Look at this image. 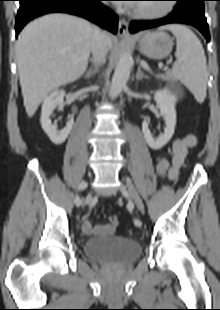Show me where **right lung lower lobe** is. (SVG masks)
I'll list each match as a JSON object with an SVG mask.
<instances>
[{"mask_svg": "<svg viewBox=\"0 0 220 310\" xmlns=\"http://www.w3.org/2000/svg\"><path fill=\"white\" fill-rule=\"evenodd\" d=\"M16 37L32 19L52 12H64L86 18L104 29L117 33L118 16L104 6L102 0H19Z\"/></svg>", "mask_w": 220, "mask_h": 310, "instance_id": "1", "label": "right lung lower lobe"}]
</instances>
